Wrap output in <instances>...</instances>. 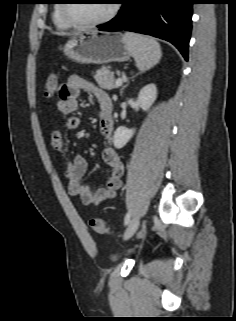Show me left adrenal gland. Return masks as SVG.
Wrapping results in <instances>:
<instances>
[{
    "instance_id": "left-adrenal-gland-1",
    "label": "left adrenal gland",
    "mask_w": 236,
    "mask_h": 321,
    "mask_svg": "<svg viewBox=\"0 0 236 321\" xmlns=\"http://www.w3.org/2000/svg\"><path fill=\"white\" fill-rule=\"evenodd\" d=\"M128 84H129V82H128L125 86H123V87L121 88V91H120L121 95L123 94V91H124V89L128 86Z\"/></svg>"
}]
</instances>
